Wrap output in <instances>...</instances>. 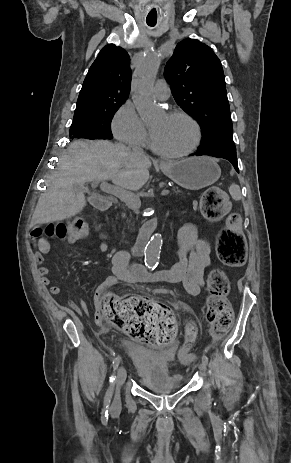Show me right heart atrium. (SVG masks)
Instances as JSON below:
<instances>
[{"mask_svg": "<svg viewBox=\"0 0 291 463\" xmlns=\"http://www.w3.org/2000/svg\"><path fill=\"white\" fill-rule=\"evenodd\" d=\"M111 128L115 138L124 144L142 147L148 143L147 129L131 102L116 111Z\"/></svg>", "mask_w": 291, "mask_h": 463, "instance_id": "1", "label": "right heart atrium"}]
</instances>
